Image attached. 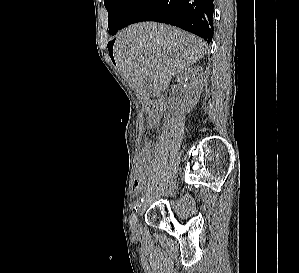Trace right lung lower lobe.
Masks as SVG:
<instances>
[{
    "instance_id": "98d812e1",
    "label": "right lung lower lobe",
    "mask_w": 299,
    "mask_h": 273,
    "mask_svg": "<svg viewBox=\"0 0 299 273\" xmlns=\"http://www.w3.org/2000/svg\"><path fill=\"white\" fill-rule=\"evenodd\" d=\"M213 9L214 0H134L120 29L135 22L157 21L180 27L209 43L214 30Z\"/></svg>"
}]
</instances>
